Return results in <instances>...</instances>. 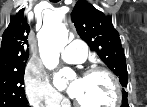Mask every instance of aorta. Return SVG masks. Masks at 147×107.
<instances>
[{"instance_id": "762f6f07", "label": "aorta", "mask_w": 147, "mask_h": 107, "mask_svg": "<svg viewBox=\"0 0 147 107\" xmlns=\"http://www.w3.org/2000/svg\"><path fill=\"white\" fill-rule=\"evenodd\" d=\"M39 53L44 66L52 70L59 64L60 51L68 42V30L59 21H46L38 33ZM72 78L74 72L69 68L62 69L54 76L57 88L65 87L62 77Z\"/></svg>"}]
</instances>
